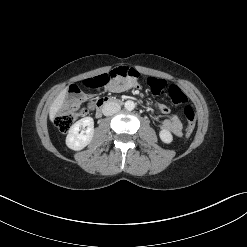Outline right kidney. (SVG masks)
Masks as SVG:
<instances>
[{
    "mask_svg": "<svg viewBox=\"0 0 247 247\" xmlns=\"http://www.w3.org/2000/svg\"><path fill=\"white\" fill-rule=\"evenodd\" d=\"M81 130V128H85ZM81 131V132H80ZM80 132V133H79ZM94 135V120L91 117H85L74 123L66 137L68 148L79 151L85 148L92 140Z\"/></svg>",
    "mask_w": 247,
    "mask_h": 247,
    "instance_id": "1",
    "label": "right kidney"
}]
</instances>
